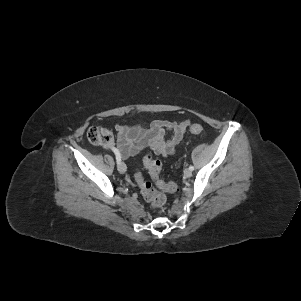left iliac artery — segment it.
<instances>
[{
	"instance_id": "obj_1",
	"label": "left iliac artery",
	"mask_w": 301,
	"mask_h": 301,
	"mask_svg": "<svg viewBox=\"0 0 301 301\" xmlns=\"http://www.w3.org/2000/svg\"><path fill=\"white\" fill-rule=\"evenodd\" d=\"M189 169H190L191 171H193V170H194V167L191 165V166H189Z\"/></svg>"
}]
</instances>
